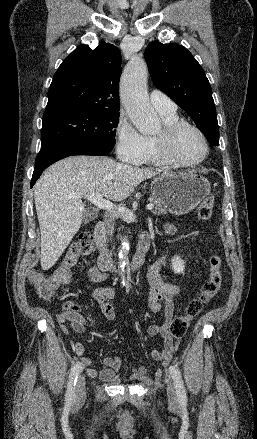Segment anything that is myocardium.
Here are the masks:
<instances>
[{
    "label": "myocardium",
    "instance_id": "1",
    "mask_svg": "<svg viewBox=\"0 0 257 439\" xmlns=\"http://www.w3.org/2000/svg\"><path fill=\"white\" fill-rule=\"evenodd\" d=\"M184 129L195 131L204 144V153L197 161L182 162L178 160L173 153V143L175 138ZM155 142L164 162L182 169H190L199 166L206 160L210 151L209 141L205 133L198 126L185 120H178L173 123L164 124L160 132L155 136Z\"/></svg>",
    "mask_w": 257,
    "mask_h": 439
}]
</instances>
